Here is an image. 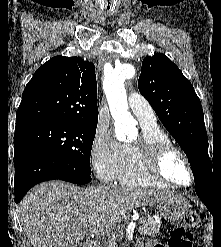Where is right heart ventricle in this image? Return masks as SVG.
<instances>
[{
	"label": "right heart ventricle",
	"instance_id": "1",
	"mask_svg": "<svg viewBox=\"0 0 221 247\" xmlns=\"http://www.w3.org/2000/svg\"><path fill=\"white\" fill-rule=\"evenodd\" d=\"M142 128L143 134H145L149 140H162L170 142L169 137L157 125H142ZM117 180L121 185L125 186H167L156 180L148 172L139 152L129 144L122 145L121 162Z\"/></svg>",
	"mask_w": 221,
	"mask_h": 247
}]
</instances>
